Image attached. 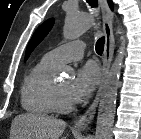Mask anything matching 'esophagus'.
Here are the masks:
<instances>
[{"instance_id":"34e87169","label":"esophagus","mask_w":141,"mask_h":139,"mask_svg":"<svg viewBox=\"0 0 141 139\" xmlns=\"http://www.w3.org/2000/svg\"><path fill=\"white\" fill-rule=\"evenodd\" d=\"M99 3L102 10L103 31L105 35L102 78L98 92L92 104L74 124V129L78 131L86 130L95 117L98 103L109 75L110 66L114 53V47H115V39L113 34V13L108 5L107 0H99Z\"/></svg>"}]
</instances>
